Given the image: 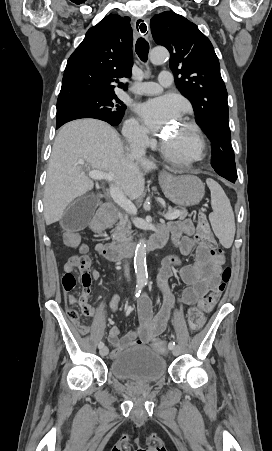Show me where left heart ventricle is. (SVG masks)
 <instances>
[{"mask_svg": "<svg viewBox=\"0 0 272 451\" xmlns=\"http://www.w3.org/2000/svg\"><path fill=\"white\" fill-rule=\"evenodd\" d=\"M170 141L175 147L189 148L191 144V133L186 126L179 125L172 134Z\"/></svg>", "mask_w": 272, "mask_h": 451, "instance_id": "1", "label": "left heart ventricle"}]
</instances>
